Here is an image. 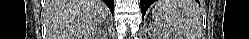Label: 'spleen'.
Returning a JSON list of instances; mask_svg holds the SVG:
<instances>
[{"mask_svg": "<svg viewBox=\"0 0 249 39\" xmlns=\"http://www.w3.org/2000/svg\"><path fill=\"white\" fill-rule=\"evenodd\" d=\"M152 15L165 32L201 39V10L194 0H158L153 4Z\"/></svg>", "mask_w": 249, "mask_h": 39, "instance_id": "3e777b00", "label": "spleen"}]
</instances>
